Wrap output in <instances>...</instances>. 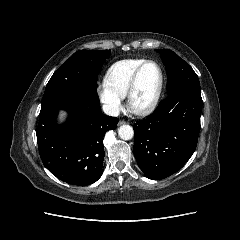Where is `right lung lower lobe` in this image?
Instances as JSON below:
<instances>
[{"label":"right lung lower lobe","instance_id":"1","mask_svg":"<svg viewBox=\"0 0 240 240\" xmlns=\"http://www.w3.org/2000/svg\"><path fill=\"white\" fill-rule=\"evenodd\" d=\"M59 109L69 113L61 126L55 123ZM117 123V118L102 114L98 96H64L43 103L36 135L44 166L69 184L96 182L103 173V137Z\"/></svg>","mask_w":240,"mask_h":240}]
</instances>
